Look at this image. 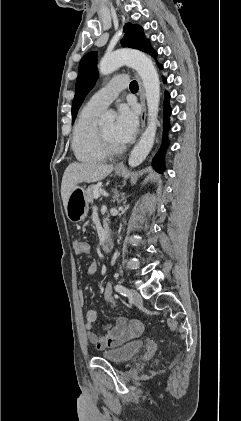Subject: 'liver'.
Segmentation results:
<instances>
[{"instance_id": "liver-1", "label": "liver", "mask_w": 241, "mask_h": 421, "mask_svg": "<svg viewBox=\"0 0 241 421\" xmlns=\"http://www.w3.org/2000/svg\"><path fill=\"white\" fill-rule=\"evenodd\" d=\"M112 164L78 163L73 162L66 168L62 183L61 196L64 208L73 188L79 183H93L104 179L113 170Z\"/></svg>"}]
</instances>
